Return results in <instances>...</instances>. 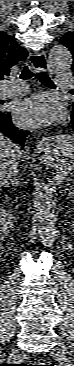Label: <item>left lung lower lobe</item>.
I'll return each mask as SVG.
<instances>
[{
	"label": "left lung lower lobe",
	"mask_w": 74,
	"mask_h": 366,
	"mask_svg": "<svg viewBox=\"0 0 74 366\" xmlns=\"http://www.w3.org/2000/svg\"><path fill=\"white\" fill-rule=\"evenodd\" d=\"M71 119H72V126L74 128V109L72 110Z\"/></svg>",
	"instance_id": "left-lung-lower-lobe-1"
}]
</instances>
